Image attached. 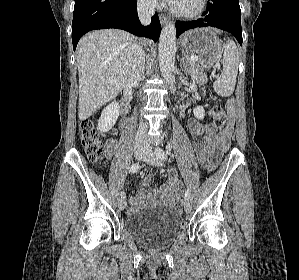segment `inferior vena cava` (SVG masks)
<instances>
[{"label":"inferior vena cava","mask_w":299,"mask_h":280,"mask_svg":"<svg viewBox=\"0 0 299 280\" xmlns=\"http://www.w3.org/2000/svg\"><path fill=\"white\" fill-rule=\"evenodd\" d=\"M154 0H139L138 16L143 25H148L151 22V17L154 14ZM145 69V53L139 45H135L133 57L130 64L128 83L136 87L143 78ZM147 142L146 125L140 123L139 129L135 138L136 144L145 145Z\"/></svg>","instance_id":"602c4592"}]
</instances>
